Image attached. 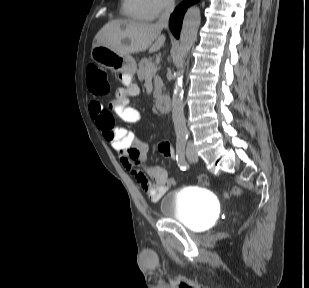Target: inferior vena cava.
<instances>
[{
    "mask_svg": "<svg viewBox=\"0 0 309 288\" xmlns=\"http://www.w3.org/2000/svg\"><path fill=\"white\" fill-rule=\"evenodd\" d=\"M175 7L174 0H167L165 10L160 16L157 25L161 28L168 27V22L170 18V14L173 12Z\"/></svg>",
    "mask_w": 309,
    "mask_h": 288,
    "instance_id": "inferior-vena-cava-1",
    "label": "inferior vena cava"
}]
</instances>
